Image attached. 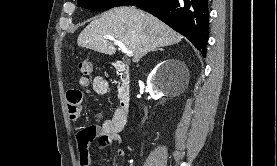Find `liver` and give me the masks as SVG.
Here are the masks:
<instances>
[{
    "label": "liver",
    "mask_w": 277,
    "mask_h": 166,
    "mask_svg": "<svg viewBox=\"0 0 277 166\" xmlns=\"http://www.w3.org/2000/svg\"><path fill=\"white\" fill-rule=\"evenodd\" d=\"M104 36L122 42L133 52L135 63L150 51L182 40V36L165 23L134 6L106 11L79 34L77 44L100 53L115 54V45Z\"/></svg>",
    "instance_id": "liver-1"
}]
</instances>
